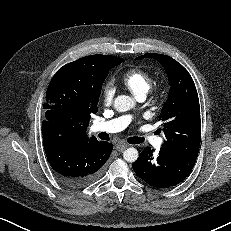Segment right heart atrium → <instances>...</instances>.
<instances>
[{
	"label": "right heart atrium",
	"mask_w": 231,
	"mask_h": 231,
	"mask_svg": "<svg viewBox=\"0 0 231 231\" xmlns=\"http://www.w3.org/2000/svg\"><path fill=\"white\" fill-rule=\"evenodd\" d=\"M115 94V88L112 83L106 82L101 89V98L105 104L111 103Z\"/></svg>",
	"instance_id": "1"
}]
</instances>
